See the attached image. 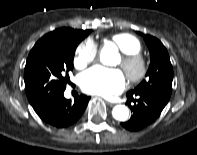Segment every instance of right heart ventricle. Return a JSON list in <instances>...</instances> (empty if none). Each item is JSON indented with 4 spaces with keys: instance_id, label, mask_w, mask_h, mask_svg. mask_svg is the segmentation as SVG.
Masks as SVG:
<instances>
[{
    "instance_id": "e07e8e85",
    "label": "right heart ventricle",
    "mask_w": 197,
    "mask_h": 155,
    "mask_svg": "<svg viewBox=\"0 0 197 155\" xmlns=\"http://www.w3.org/2000/svg\"><path fill=\"white\" fill-rule=\"evenodd\" d=\"M111 41L123 53H139L141 50L140 40L129 33H118L111 37Z\"/></svg>"
}]
</instances>
